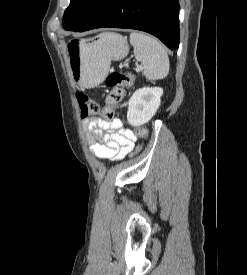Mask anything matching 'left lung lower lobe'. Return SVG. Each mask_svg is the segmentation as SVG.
<instances>
[{
  "label": "left lung lower lobe",
  "instance_id": "1",
  "mask_svg": "<svg viewBox=\"0 0 247 275\" xmlns=\"http://www.w3.org/2000/svg\"><path fill=\"white\" fill-rule=\"evenodd\" d=\"M100 27L129 28L148 32L169 49L179 45L178 0H103L85 23L72 31Z\"/></svg>",
  "mask_w": 247,
  "mask_h": 275
}]
</instances>
